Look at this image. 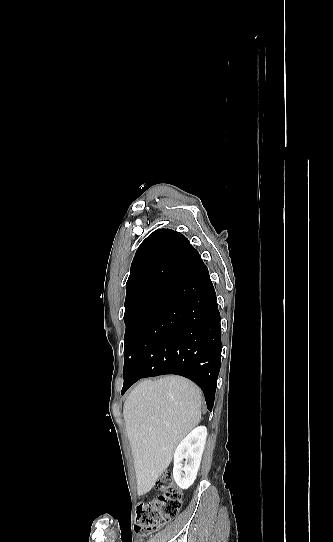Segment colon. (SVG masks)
Here are the masks:
<instances>
[{
	"label": "colon",
	"instance_id": "5ec220e1",
	"mask_svg": "<svg viewBox=\"0 0 333 542\" xmlns=\"http://www.w3.org/2000/svg\"><path fill=\"white\" fill-rule=\"evenodd\" d=\"M161 490L152 500L140 503L136 514V530L140 534H150L173 519L182 505V494L171 473L162 474L156 481Z\"/></svg>",
	"mask_w": 333,
	"mask_h": 542
}]
</instances>
